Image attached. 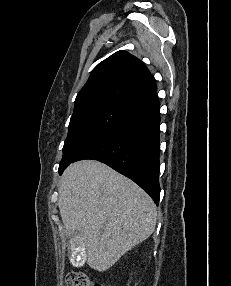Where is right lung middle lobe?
Masks as SVG:
<instances>
[{"mask_svg": "<svg viewBox=\"0 0 231 286\" xmlns=\"http://www.w3.org/2000/svg\"><path fill=\"white\" fill-rule=\"evenodd\" d=\"M133 114L132 108L116 102L97 103L74 111L59 172L92 142Z\"/></svg>", "mask_w": 231, "mask_h": 286, "instance_id": "obj_1", "label": "right lung middle lobe"}]
</instances>
